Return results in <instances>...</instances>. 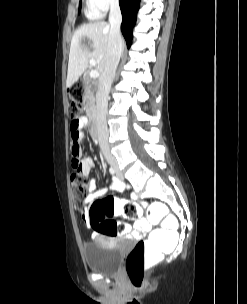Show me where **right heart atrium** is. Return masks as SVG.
<instances>
[{
    "mask_svg": "<svg viewBox=\"0 0 247 304\" xmlns=\"http://www.w3.org/2000/svg\"><path fill=\"white\" fill-rule=\"evenodd\" d=\"M93 5L101 13L107 12L111 7L118 3V0H91Z\"/></svg>",
    "mask_w": 247,
    "mask_h": 304,
    "instance_id": "d8ad5b80",
    "label": "right heart atrium"
}]
</instances>
